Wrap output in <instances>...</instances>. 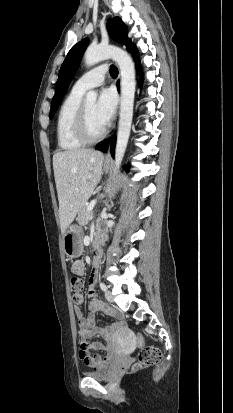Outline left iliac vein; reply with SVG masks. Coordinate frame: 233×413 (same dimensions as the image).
I'll return each mask as SVG.
<instances>
[{
	"mask_svg": "<svg viewBox=\"0 0 233 413\" xmlns=\"http://www.w3.org/2000/svg\"><path fill=\"white\" fill-rule=\"evenodd\" d=\"M105 297H106L107 301H109V302H113V300H114L113 295L108 290L105 292Z\"/></svg>",
	"mask_w": 233,
	"mask_h": 413,
	"instance_id": "left-iliac-vein-1",
	"label": "left iliac vein"
}]
</instances>
